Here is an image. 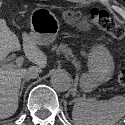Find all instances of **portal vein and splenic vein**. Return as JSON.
Here are the masks:
<instances>
[{
    "label": "portal vein and splenic vein",
    "instance_id": "obj_1",
    "mask_svg": "<svg viewBox=\"0 0 125 125\" xmlns=\"http://www.w3.org/2000/svg\"><path fill=\"white\" fill-rule=\"evenodd\" d=\"M23 61H24L23 57H18L16 58L15 63L10 62V63L2 65V67L3 68H20L23 64Z\"/></svg>",
    "mask_w": 125,
    "mask_h": 125
}]
</instances>
